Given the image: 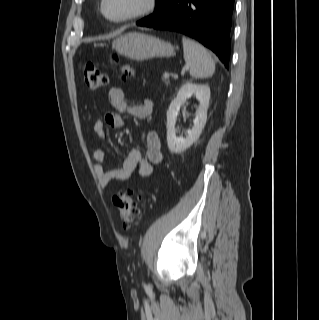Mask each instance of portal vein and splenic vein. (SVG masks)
<instances>
[{
	"instance_id": "portal-vein-and-splenic-vein-1",
	"label": "portal vein and splenic vein",
	"mask_w": 319,
	"mask_h": 320,
	"mask_svg": "<svg viewBox=\"0 0 319 320\" xmlns=\"http://www.w3.org/2000/svg\"><path fill=\"white\" fill-rule=\"evenodd\" d=\"M163 76H164V78H166V79H168V78L170 77L169 73H167V72H166V73H164V75H163Z\"/></svg>"
}]
</instances>
